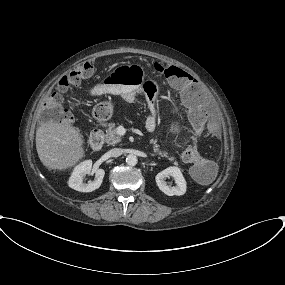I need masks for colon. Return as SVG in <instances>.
Segmentation results:
<instances>
[{
    "instance_id": "colon-1",
    "label": "colon",
    "mask_w": 285,
    "mask_h": 285,
    "mask_svg": "<svg viewBox=\"0 0 285 285\" xmlns=\"http://www.w3.org/2000/svg\"><path fill=\"white\" fill-rule=\"evenodd\" d=\"M154 68L157 74L162 75L171 81H178L182 78V72L174 66L157 64ZM94 71V67L91 63L84 62L61 77L55 89L43 101L41 116L44 119L69 118L67 109L64 106V94L72 85L78 84L82 80L93 76ZM141 73L142 68L137 64L121 67L116 71L115 75L107 76L105 78V87L112 88L131 84L136 77L141 75ZM145 93L148 97L155 98L157 88L154 85L147 86L145 88ZM195 100L196 97L193 95H188L186 97V101L188 102ZM102 107H104L103 103L99 104L97 109H101ZM188 117L194 130V134L190 144L183 152L181 159L184 163L193 164L191 174L195 179L199 181H208L215 173V165L204 160L198 152V142L206 123L205 115L201 108L193 106L188 110Z\"/></svg>"
}]
</instances>
